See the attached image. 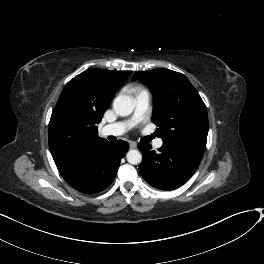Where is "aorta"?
<instances>
[{
    "instance_id": "obj_1",
    "label": "aorta",
    "mask_w": 264,
    "mask_h": 264,
    "mask_svg": "<svg viewBox=\"0 0 264 264\" xmlns=\"http://www.w3.org/2000/svg\"><path fill=\"white\" fill-rule=\"evenodd\" d=\"M113 109L119 116H128L134 110L133 99L128 95H119L114 99ZM127 161L130 164L137 165L142 161L140 151L132 149L127 152Z\"/></svg>"
}]
</instances>
